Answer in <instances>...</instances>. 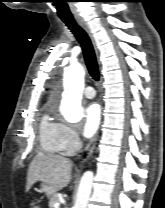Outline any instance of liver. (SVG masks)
I'll list each match as a JSON object with an SVG mask.
<instances>
[{
	"label": "liver",
	"instance_id": "liver-1",
	"mask_svg": "<svg viewBox=\"0 0 165 208\" xmlns=\"http://www.w3.org/2000/svg\"><path fill=\"white\" fill-rule=\"evenodd\" d=\"M72 166V161L61 155L38 153L29 165L26 191L37 181L56 190L66 187L71 181Z\"/></svg>",
	"mask_w": 165,
	"mask_h": 208
}]
</instances>
